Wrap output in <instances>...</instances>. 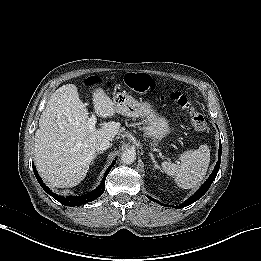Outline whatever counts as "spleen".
Here are the masks:
<instances>
[{"mask_svg": "<svg viewBox=\"0 0 261 261\" xmlns=\"http://www.w3.org/2000/svg\"><path fill=\"white\" fill-rule=\"evenodd\" d=\"M209 163V148L207 145H200L196 150L181 153L177 163L162 162V168L167 175L174 178L179 187L191 189L204 179Z\"/></svg>", "mask_w": 261, "mask_h": 261, "instance_id": "spleen-1", "label": "spleen"}]
</instances>
